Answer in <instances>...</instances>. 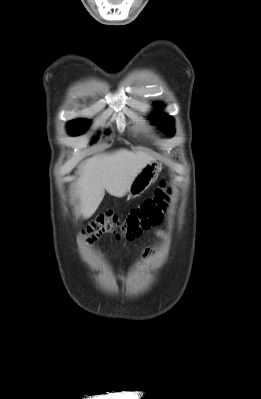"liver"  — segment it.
<instances>
[{
  "instance_id": "6515ba94",
  "label": "liver",
  "mask_w": 261,
  "mask_h": 399,
  "mask_svg": "<svg viewBox=\"0 0 261 399\" xmlns=\"http://www.w3.org/2000/svg\"><path fill=\"white\" fill-rule=\"evenodd\" d=\"M155 158L147 153L119 149L112 153L92 156L81 165L77 182V194L81 202V214L90 218L105 191L115 197H123L137 174Z\"/></svg>"
}]
</instances>
